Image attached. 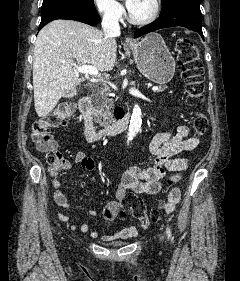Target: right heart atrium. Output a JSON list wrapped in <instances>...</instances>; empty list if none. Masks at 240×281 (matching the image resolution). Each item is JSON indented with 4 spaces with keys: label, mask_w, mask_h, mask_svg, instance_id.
I'll list each match as a JSON object with an SVG mask.
<instances>
[{
    "label": "right heart atrium",
    "mask_w": 240,
    "mask_h": 281,
    "mask_svg": "<svg viewBox=\"0 0 240 281\" xmlns=\"http://www.w3.org/2000/svg\"><path fill=\"white\" fill-rule=\"evenodd\" d=\"M98 13L110 22H118L124 15V8L118 0H93Z\"/></svg>",
    "instance_id": "right-heart-atrium-1"
}]
</instances>
